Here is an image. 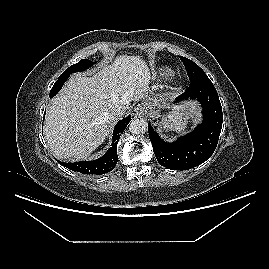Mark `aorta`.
<instances>
[{
  "mask_svg": "<svg viewBox=\"0 0 269 269\" xmlns=\"http://www.w3.org/2000/svg\"><path fill=\"white\" fill-rule=\"evenodd\" d=\"M148 125L144 119H133L129 124V130L135 135L144 134L147 131Z\"/></svg>",
  "mask_w": 269,
  "mask_h": 269,
  "instance_id": "aorta-1",
  "label": "aorta"
}]
</instances>
